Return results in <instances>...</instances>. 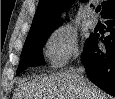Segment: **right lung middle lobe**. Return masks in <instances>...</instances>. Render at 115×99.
Segmentation results:
<instances>
[{
    "instance_id": "dd1d6c3e",
    "label": "right lung middle lobe",
    "mask_w": 115,
    "mask_h": 99,
    "mask_svg": "<svg viewBox=\"0 0 115 99\" xmlns=\"http://www.w3.org/2000/svg\"><path fill=\"white\" fill-rule=\"evenodd\" d=\"M51 33L38 34L26 38L16 74H19L28 67L43 63L42 47Z\"/></svg>"
}]
</instances>
